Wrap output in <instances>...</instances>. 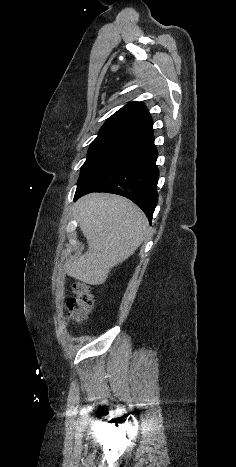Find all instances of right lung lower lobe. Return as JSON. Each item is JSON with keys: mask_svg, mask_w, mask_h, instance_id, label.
<instances>
[{"mask_svg": "<svg viewBox=\"0 0 236 467\" xmlns=\"http://www.w3.org/2000/svg\"><path fill=\"white\" fill-rule=\"evenodd\" d=\"M158 156L150 130L117 149L77 184L74 200L90 192H108L127 197L152 219L158 202Z\"/></svg>", "mask_w": 236, "mask_h": 467, "instance_id": "98d812e1", "label": "right lung lower lobe"}]
</instances>
